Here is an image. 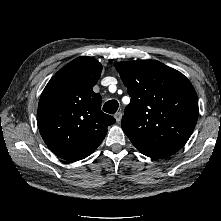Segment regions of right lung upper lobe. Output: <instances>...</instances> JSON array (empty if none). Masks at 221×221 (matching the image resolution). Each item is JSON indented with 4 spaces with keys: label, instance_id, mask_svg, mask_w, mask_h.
Instances as JSON below:
<instances>
[{
    "label": "right lung upper lobe",
    "instance_id": "obj_1",
    "mask_svg": "<svg viewBox=\"0 0 221 221\" xmlns=\"http://www.w3.org/2000/svg\"><path fill=\"white\" fill-rule=\"evenodd\" d=\"M101 71L94 58L78 57L61 68L41 94L38 128L62 159L78 161L92 154L116 121L101 111V96L93 92Z\"/></svg>",
    "mask_w": 221,
    "mask_h": 221
}]
</instances>
